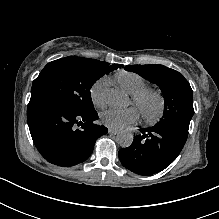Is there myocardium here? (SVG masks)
I'll use <instances>...</instances> for the list:
<instances>
[{"label":"myocardium","mask_w":219,"mask_h":219,"mask_svg":"<svg viewBox=\"0 0 219 219\" xmlns=\"http://www.w3.org/2000/svg\"><path fill=\"white\" fill-rule=\"evenodd\" d=\"M155 97L158 101V111L155 115L153 116H147L144 113L140 112L142 120L148 124V125H155L157 123H159L162 118L165 115V111H166V98L164 96V94L157 89H152V88H144L139 90L136 93L132 94V101L134 103H140L142 102L145 98L147 97Z\"/></svg>","instance_id":"obj_1"}]
</instances>
